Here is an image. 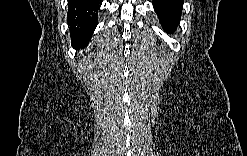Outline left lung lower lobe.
<instances>
[{
  "label": "left lung lower lobe",
  "instance_id": "0a47b994",
  "mask_svg": "<svg viewBox=\"0 0 247 156\" xmlns=\"http://www.w3.org/2000/svg\"><path fill=\"white\" fill-rule=\"evenodd\" d=\"M153 7L167 33H173L179 23L182 0H154Z\"/></svg>",
  "mask_w": 247,
  "mask_h": 156
}]
</instances>
